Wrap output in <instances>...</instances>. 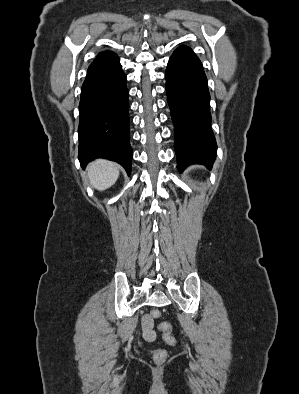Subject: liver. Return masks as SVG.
<instances>
[{
  "mask_svg": "<svg viewBox=\"0 0 299 394\" xmlns=\"http://www.w3.org/2000/svg\"><path fill=\"white\" fill-rule=\"evenodd\" d=\"M87 171L91 185L99 191L111 187L119 177L118 165L107 160L93 161Z\"/></svg>",
  "mask_w": 299,
  "mask_h": 394,
  "instance_id": "obj_1",
  "label": "liver"
}]
</instances>
